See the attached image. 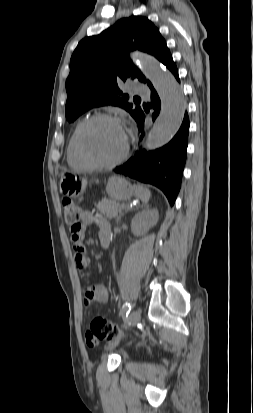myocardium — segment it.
I'll list each match as a JSON object with an SVG mask.
<instances>
[{
  "label": "myocardium",
  "instance_id": "obj_1",
  "mask_svg": "<svg viewBox=\"0 0 253 413\" xmlns=\"http://www.w3.org/2000/svg\"><path fill=\"white\" fill-rule=\"evenodd\" d=\"M98 121H112V122H116L118 124H120L122 126V123L120 121V119L114 115L111 114H106V113H99V114H95L91 117H89L88 119H86L82 125L80 126L78 133H77V140H76V144H77V150L78 153L80 155V157L92 168H99V169H109V168H113L119 164H121L128 156L129 154V148H130V144H129V140L128 137L126 135V142H125V147L123 152L121 153V155L116 158L113 161H109V162H102V161H97L95 159H93L87 152L86 148H85V144H84V136L86 131L88 130V128L94 124L95 122Z\"/></svg>",
  "mask_w": 253,
  "mask_h": 413
}]
</instances>
